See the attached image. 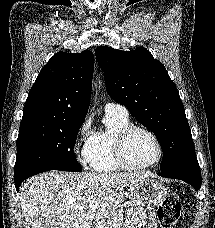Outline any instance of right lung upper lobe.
Wrapping results in <instances>:
<instances>
[{
	"instance_id": "cb5924a9",
	"label": "right lung upper lobe",
	"mask_w": 215,
	"mask_h": 228,
	"mask_svg": "<svg viewBox=\"0 0 215 228\" xmlns=\"http://www.w3.org/2000/svg\"><path fill=\"white\" fill-rule=\"evenodd\" d=\"M93 76V53L58 52L40 71L24 105L20 129L85 120Z\"/></svg>"
}]
</instances>
